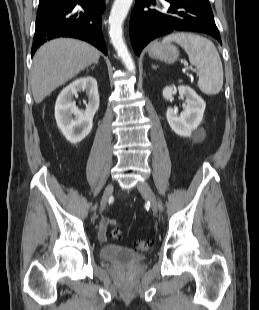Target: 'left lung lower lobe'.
Masks as SVG:
<instances>
[{"instance_id":"obj_1","label":"left lung lower lobe","mask_w":259,"mask_h":310,"mask_svg":"<svg viewBox=\"0 0 259 310\" xmlns=\"http://www.w3.org/2000/svg\"><path fill=\"white\" fill-rule=\"evenodd\" d=\"M164 1L170 3L167 11L156 0H136L130 19V39L137 55L153 39L176 30L206 33L221 43L208 0Z\"/></svg>"}]
</instances>
